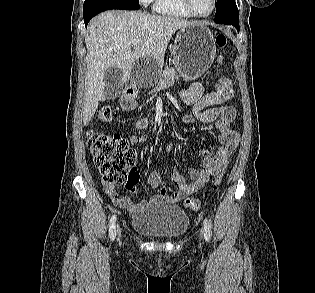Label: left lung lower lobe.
<instances>
[{"label": "left lung lower lobe", "instance_id": "left-lung-lower-lobe-1", "mask_svg": "<svg viewBox=\"0 0 315 293\" xmlns=\"http://www.w3.org/2000/svg\"><path fill=\"white\" fill-rule=\"evenodd\" d=\"M236 29L239 31V24L236 26Z\"/></svg>", "mask_w": 315, "mask_h": 293}]
</instances>
